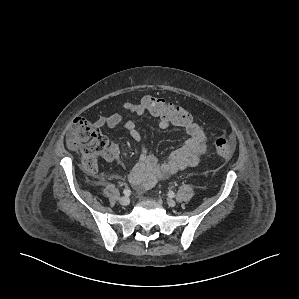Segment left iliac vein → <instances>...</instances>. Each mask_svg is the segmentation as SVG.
Instances as JSON below:
<instances>
[{
  "label": "left iliac vein",
  "instance_id": "obj_1",
  "mask_svg": "<svg viewBox=\"0 0 299 299\" xmlns=\"http://www.w3.org/2000/svg\"><path fill=\"white\" fill-rule=\"evenodd\" d=\"M167 203L170 207H174L176 205V202L173 199H168Z\"/></svg>",
  "mask_w": 299,
  "mask_h": 299
}]
</instances>
